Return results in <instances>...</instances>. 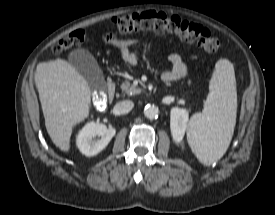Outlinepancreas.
<instances>
[{
  "label": "pancreas",
  "mask_w": 275,
  "mask_h": 215,
  "mask_svg": "<svg viewBox=\"0 0 275 215\" xmlns=\"http://www.w3.org/2000/svg\"><path fill=\"white\" fill-rule=\"evenodd\" d=\"M121 89L123 92L130 96L141 93V89L131 84L129 80H125L124 82H122Z\"/></svg>",
  "instance_id": "cf45deb5"
}]
</instances>
